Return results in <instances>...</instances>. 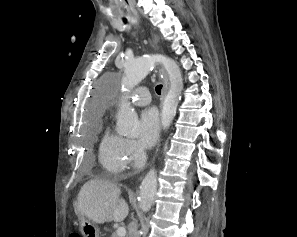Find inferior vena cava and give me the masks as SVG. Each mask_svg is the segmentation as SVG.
Returning a JSON list of instances; mask_svg holds the SVG:
<instances>
[{
	"label": "inferior vena cava",
	"instance_id": "inferior-vena-cava-1",
	"mask_svg": "<svg viewBox=\"0 0 297 237\" xmlns=\"http://www.w3.org/2000/svg\"><path fill=\"white\" fill-rule=\"evenodd\" d=\"M128 237H140L138 232V224L136 220L131 222L129 225Z\"/></svg>",
	"mask_w": 297,
	"mask_h": 237
}]
</instances>
